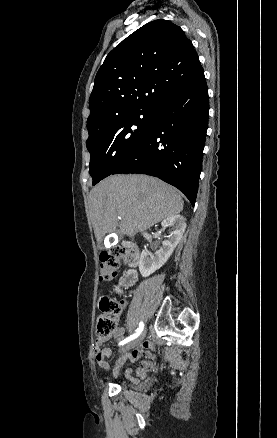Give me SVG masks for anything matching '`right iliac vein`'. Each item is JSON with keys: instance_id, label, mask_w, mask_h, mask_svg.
Returning a JSON list of instances; mask_svg holds the SVG:
<instances>
[{"instance_id": "obj_1", "label": "right iliac vein", "mask_w": 277, "mask_h": 438, "mask_svg": "<svg viewBox=\"0 0 277 438\" xmlns=\"http://www.w3.org/2000/svg\"><path fill=\"white\" fill-rule=\"evenodd\" d=\"M145 336H146V329H144L143 332H141L137 338H135L134 340L130 341L125 346H123L120 349V353H125L131 350L132 348H134L135 346H137L138 344H140L142 340L145 338Z\"/></svg>"}]
</instances>
